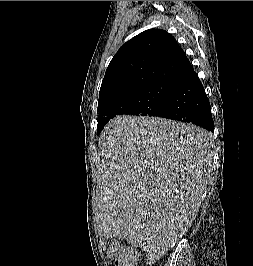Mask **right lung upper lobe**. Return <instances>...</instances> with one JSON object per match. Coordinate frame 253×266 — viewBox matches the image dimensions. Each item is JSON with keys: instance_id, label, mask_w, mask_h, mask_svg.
Returning a JSON list of instances; mask_svg holds the SVG:
<instances>
[{"instance_id": "1", "label": "right lung upper lobe", "mask_w": 253, "mask_h": 266, "mask_svg": "<svg viewBox=\"0 0 253 266\" xmlns=\"http://www.w3.org/2000/svg\"><path fill=\"white\" fill-rule=\"evenodd\" d=\"M191 69L172 35L161 29L146 30L122 45L112 58L98 104L149 84L172 83Z\"/></svg>"}]
</instances>
